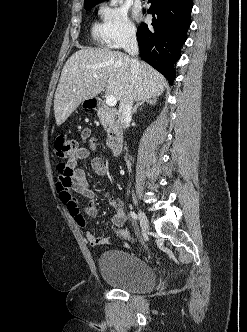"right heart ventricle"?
I'll return each mask as SVG.
<instances>
[{
    "label": "right heart ventricle",
    "mask_w": 247,
    "mask_h": 332,
    "mask_svg": "<svg viewBox=\"0 0 247 332\" xmlns=\"http://www.w3.org/2000/svg\"><path fill=\"white\" fill-rule=\"evenodd\" d=\"M91 32H92V36L93 38L102 46H105L107 45V42L105 40V37H104V33H103V28H102V25L99 24V23H94L92 25V29H91Z\"/></svg>",
    "instance_id": "1"
}]
</instances>
